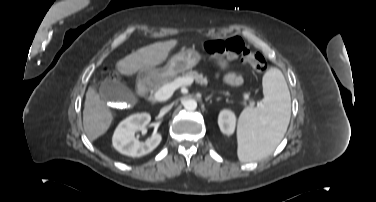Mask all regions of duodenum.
Here are the masks:
<instances>
[{
    "mask_svg": "<svg viewBox=\"0 0 376 202\" xmlns=\"http://www.w3.org/2000/svg\"><path fill=\"white\" fill-rule=\"evenodd\" d=\"M148 89H149V83L146 79H142L138 82V85H137L138 95L144 96L145 94H147Z\"/></svg>",
    "mask_w": 376,
    "mask_h": 202,
    "instance_id": "obj_1",
    "label": "duodenum"
}]
</instances>
